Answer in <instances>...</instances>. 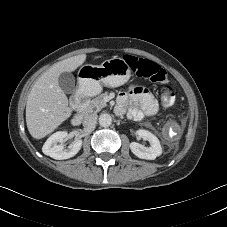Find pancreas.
Returning <instances> with one entry per match:
<instances>
[{
    "instance_id": "cf45deb5",
    "label": "pancreas",
    "mask_w": 227,
    "mask_h": 227,
    "mask_svg": "<svg viewBox=\"0 0 227 227\" xmlns=\"http://www.w3.org/2000/svg\"><path fill=\"white\" fill-rule=\"evenodd\" d=\"M106 94H101L91 100L90 105L87 107L86 112H99L101 109L106 107V102L104 101Z\"/></svg>"
}]
</instances>
